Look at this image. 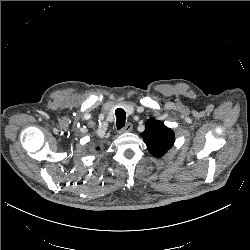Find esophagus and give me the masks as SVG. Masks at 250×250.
Instances as JSON below:
<instances>
[{"mask_svg": "<svg viewBox=\"0 0 250 250\" xmlns=\"http://www.w3.org/2000/svg\"><path fill=\"white\" fill-rule=\"evenodd\" d=\"M133 129V125L131 123H127L122 129H120V133L130 132Z\"/></svg>", "mask_w": 250, "mask_h": 250, "instance_id": "esophagus-1", "label": "esophagus"}]
</instances>
